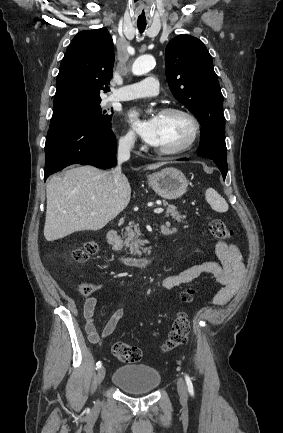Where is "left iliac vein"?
Here are the masks:
<instances>
[{
  "instance_id": "left-iliac-vein-1",
  "label": "left iliac vein",
  "mask_w": 283,
  "mask_h": 433,
  "mask_svg": "<svg viewBox=\"0 0 283 433\" xmlns=\"http://www.w3.org/2000/svg\"><path fill=\"white\" fill-rule=\"evenodd\" d=\"M177 390H178V393L180 395V398L182 400H186L187 399V387H186L185 382L183 381V379L181 377H179L177 380Z\"/></svg>"
}]
</instances>
